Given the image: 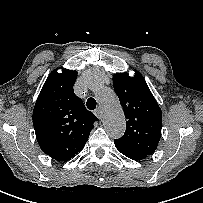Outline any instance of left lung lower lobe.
Instances as JSON below:
<instances>
[{"mask_svg":"<svg viewBox=\"0 0 203 203\" xmlns=\"http://www.w3.org/2000/svg\"><path fill=\"white\" fill-rule=\"evenodd\" d=\"M115 146L123 155H125L133 160H142V159L146 158L145 156L135 153L127 148H124L117 143H115Z\"/></svg>","mask_w":203,"mask_h":203,"instance_id":"1","label":"left lung lower lobe"}]
</instances>
